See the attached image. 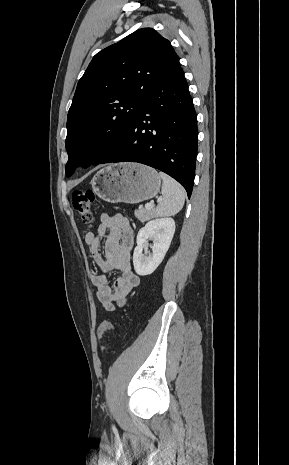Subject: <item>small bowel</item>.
<instances>
[{
	"mask_svg": "<svg viewBox=\"0 0 289 465\" xmlns=\"http://www.w3.org/2000/svg\"><path fill=\"white\" fill-rule=\"evenodd\" d=\"M105 237L104 252H101V239ZM85 243L90 248L93 260L102 274L91 273V282L103 308L114 310L125 304L128 294L139 285V277L131 266L133 229L128 219L121 215L102 213L96 232L85 235ZM117 270L120 276L111 286L106 274Z\"/></svg>",
	"mask_w": 289,
	"mask_h": 465,
	"instance_id": "obj_1",
	"label": "small bowel"
}]
</instances>
